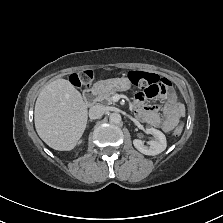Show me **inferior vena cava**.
Instances as JSON below:
<instances>
[{
    "label": "inferior vena cava",
    "instance_id": "inferior-vena-cava-1",
    "mask_svg": "<svg viewBox=\"0 0 223 223\" xmlns=\"http://www.w3.org/2000/svg\"><path fill=\"white\" fill-rule=\"evenodd\" d=\"M104 112H105L104 106L97 104L90 108L89 117L91 119H98L104 114Z\"/></svg>",
    "mask_w": 223,
    "mask_h": 223
}]
</instances>
